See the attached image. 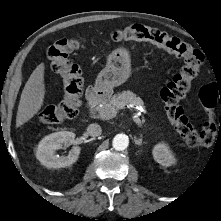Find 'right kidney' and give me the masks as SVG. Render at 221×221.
I'll return each instance as SVG.
<instances>
[{"mask_svg": "<svg viewBox=\"0 0 221 221\" xmlns=\"http://www.w3.org/2000/svg\"><path fill=\"white\" fill-rule=\"evenodd\" d=\"M75 134L69 131H60L44 137L36 151V157L47 168H63L75 163L79 157L81 148L74 146L67 156H59L55 151L63 145L72 143Z\"/></svg>", "mask_w": 221, "mask_h": 221, "instance_id": "1", "label": "right kidney"}]
</instances>
